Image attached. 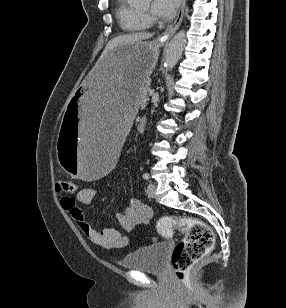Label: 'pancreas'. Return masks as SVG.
Instances as JSON below:
<instances>
[{"label": "pancreas", "instance_id": "cf45deb5", "mask_svg": "<svg viewBox=\"0 0 286 308\" xmlns=\"http://www.w3.org/2000/svg\"><path fill=\"white\" fill-rule=\"evenodd\" d=\"M148 90H149V81H146L143 85L139 87L138 101L140 105L145 104L149 100L147 96Z\"/></svg>", "mask_w": 286, "mask_h": 308}]
</instances>
